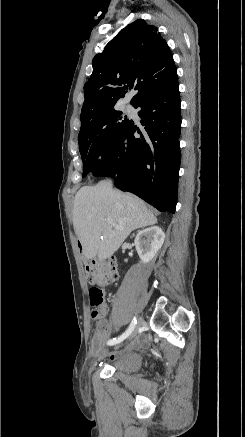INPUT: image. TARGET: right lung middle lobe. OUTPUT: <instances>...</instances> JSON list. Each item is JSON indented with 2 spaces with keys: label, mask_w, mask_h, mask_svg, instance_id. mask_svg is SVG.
I'll return each mask as SVG.
<instances>
[{
  "label": "right lung middle lobe",
  "mask_w": 245,
  "mask_h": 437,
  "mask_svg": "<svg viewBox=\"0 0 245 437\" xmlns=\"http://www.w3.org/2000/svg\"><path fill=\"white\" fill-rule=\"evenodd\" d=\"M130 123L127 116L112 107L81 125L78 142L83 160V177L89 171H95V166L100 163L98 156L102 155L103 161L110 156Z\"/></svg>",
  "instance_id": "dd1d6c3e"
}]
</instances>
